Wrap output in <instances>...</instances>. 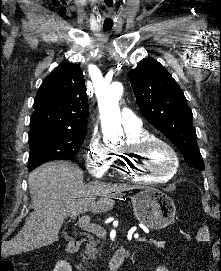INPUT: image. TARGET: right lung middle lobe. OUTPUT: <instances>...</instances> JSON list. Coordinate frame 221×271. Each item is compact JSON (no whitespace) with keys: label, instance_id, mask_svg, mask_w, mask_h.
<instances>
[{"label":"right lung middle lobe","instance_id":"1","mask_svg":"<svg viewBox=\"0 0 221 271\" xmlns=\"http://www.w3.org/2000/svg\"><path fill=\"white\" fill-rule=\"evenodd\" d=\"M85 136L86 132H67L52 129L29 131V171L48 161L73 159Z\"/></svg>","mask_w":221,"mask_h":271}]
</instances>
